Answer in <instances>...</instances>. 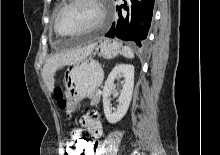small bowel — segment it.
I'll return each instance as SVG.
<instances>
[{
	"label": "small bowel",
	"instance_id": "obj_1",
	"mask_svg": "<svg viewBox=\"0 0 220 155\" xmlns=\"http://www.w3.org/2000/svg\"><path fill=\"white\" fill-rule=\"evenodd\" d=\"M81 126L88 132L94 140L99 139L103 134L102 123L95 113H88L81 119ZM79 135H83V129H75L71 139H79ZM84 139H87L86 137ZM88 140V139H87ZM88 142H90L88 140ZM98 143H92L89 155H93L97 149Z\"/></svg>",
	"mask_w": 220,
	"mask_h": 155
}]
</instances>
